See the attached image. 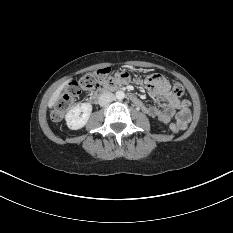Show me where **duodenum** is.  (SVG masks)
I'll use <instances>...</instances> for the list:
<instances>
[{
  "label": "duodenum",
  "instance_id": "1",
  "mask_svg": "<svg viewBox=\"0 0 233 233\" xmlns=\"http://www.w3.org/2000/svg\"><path fill=\"white\" fill-rule=\"evenodd\" d=\"M113 88H114V86H107V87L104 88L99 94L94 95V96L91 98V100H92L93 102H97V101L99 100V98H100L101 95H103V94L109 92V91L112 90ZM129 98H130V100H131L134 104H136L137 106L140 105V100H139L135 95L129 94Z\"/></svg>",
  "mask_w": 233,
  "mask_h": 233
}]
</instances>
